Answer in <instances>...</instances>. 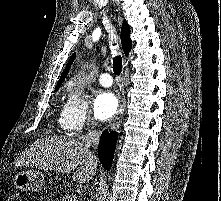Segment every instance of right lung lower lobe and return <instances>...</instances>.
Segmentation results:
<instances>
[{
	"label": "right lung lower lobe",
	"mask_w": 221,
	"mask_h": 201,
	"mask_svg": "<svg viewBox=\"0 0 221 201\" xmlns=\"http://www.w3.org/2000/svg\"><path fill=\"white\" fill-rule=\"evenodd\" d=\"M116 142H117V133L115 131L109 133L108 130H105L101 134L99 147H98V157L101 164L107 170H110L111 168Z\"/></svg>",
	"instance_id": "98d812e1"
}]
</instances>
